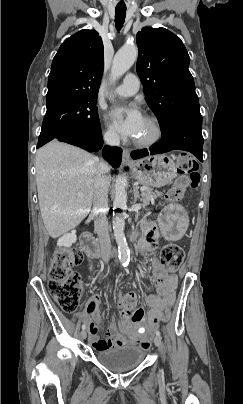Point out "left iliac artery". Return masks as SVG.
Here are the masks:
<instances>
[{
  "label": "left iliac artery",
  "mask_w": 243,
  "mask_h": 404,
  "mask_svg": "<svg viewBox=\"0 0 243 404\" xmlns=\"http://www.w3.org/2000/svg\"><path fill=\"white\" fill-rule=\"evenodd\" d=\"M156 335H157V336H160V332H159V331H156Z\"/></svg>",
  "instance_id": "obj_1"
}]
</instances>
